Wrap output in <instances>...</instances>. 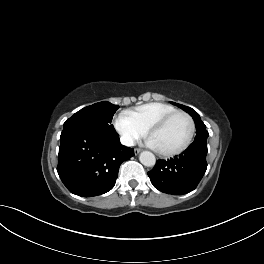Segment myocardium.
Returning a JSON list of instances; mask_svg holds the SVG:
<instances>
[{
	"label": "myocardium",
	"instance_id": "1",
	"mask_svg": "<svg viewBox=\"0 0 264 264\" xmlns=\"http://www.w3.org/2000/svg\"><path fill=\"white\" fill-rule=\"evenodd\" d=\"M177 116H183L188 120V122L190 124L189 135H188L186 141L181 146H179L175 149H172L169 151H161V150L157 149L158 153L163 155V156L169 157V156L178 155V154L184 152L191 145L193 138L195 136V132H196L195 121L190 114H188L187 112H184V111H174V112L164 116L162 119H160L158 122H156L148 130V136L151 137L154 133L163 129L173 118H175Z\"/></svg>",
	"mask_w": 264,
	"mask_h": 264
}]
</instances>
